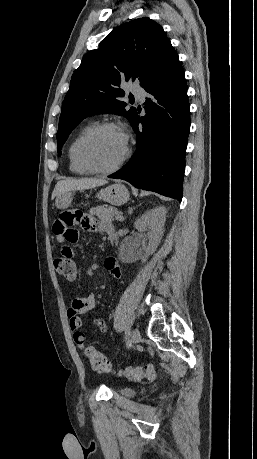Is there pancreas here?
<instances>
[{
	"label": "pancreas",
	"instance_id": "obj_1",
	"mask_svg": "<svg viewBox=\"0 0 257 459\" xmlns=\"http://www.w3.org/2000/svg\"><path fill=\"white\" fill-rule=\"evenodd\" d=\"M90 214L98 217L102 221L111 222L114 216L119 214V211L112 206L100 205L90 209Z\"/></svg>",
	"mask_w": 257,
	"mask_h": 459
}]
</instances>
